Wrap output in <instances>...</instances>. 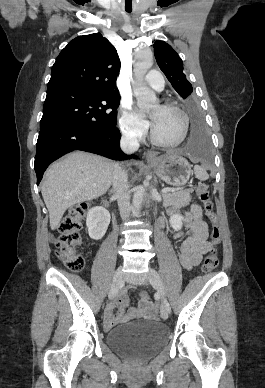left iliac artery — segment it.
<instances>
[{
  "mask_svg": "<svg viewBox=\"0 0 265 388\" xmlns=\"http://www.w3.org/2000/svg\"><path fill=\"white\" fill-rule=\"evenodd\" d=\"M166 305H167L168 311L170 312L171 308H170V305H169V303L167 301H166Z\"/></svg>",
  "mask_w": 265,
  "mask_h": 388,
  "instance_id": "left-iliac-artery-1",
  "label": "left iliac artery"
}]
</instances>
